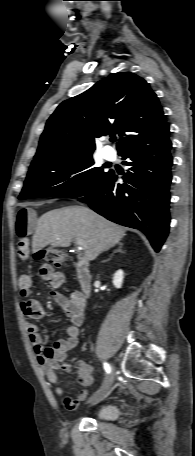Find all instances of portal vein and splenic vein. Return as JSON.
I'll use <instances>...</instances> for the list:
<instances>
[{"mask_svg": "<svg viewBox=\"0 0 195 456\" xmlns=\"http://www.w3.org/2000/svg\"><path fill=\"white\" fill-rule=\"evenodd\" d=\"M76 243L78 245V249L81 250V251L85 250L86 247H87L85 241L80 239V238L76 239Z\"/></svg>", "mask_w": 195, "mask_h": 456, "instance_id": "1", "label": "portal vein and splenic vein"}]
</instances>
